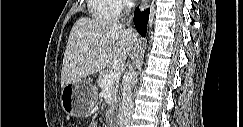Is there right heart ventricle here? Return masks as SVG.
I'll return each mask as SVG.
<instances>
[{
	"label": "right heart ventricle",
	"instance_id": "1",
	"mask_svg": "<svg viewBox=\"0 0 243 127\" xmlns=\"http://www.w3.org/2000/svg\"><path fill=\"white\" fill-rule=\"evenodd\" d=\"M117 8L116 0H89L88 9L91 16L103 22L115 20Z\"/></svg>",
	"mask_w": 243,
	"mask_h": 127
}]
</instances>
